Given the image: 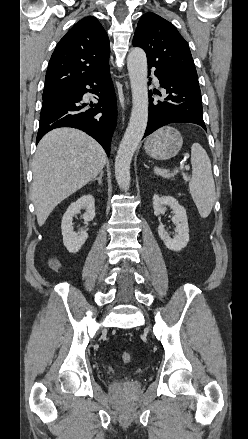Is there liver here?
<instances>
[{"label": "liver", "instance_id": "obj_1", "mask_svg": "<svg viewBox=\"0 0 248 439\" xmlns=\"http://www.w3.org/2000/svg\"><path fill=\"white\" fill-rule=\"evenodd\" d=\"M106 154L86 133L54 129L39 142L34 155L31 197L39 226L53 209L93 180L104 168Z\"/></svg>", "mask_w": 248, "mask_h": 439}]
</instances>
